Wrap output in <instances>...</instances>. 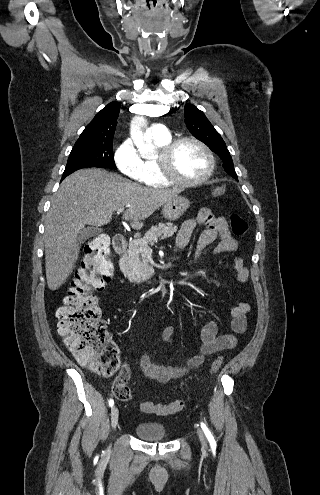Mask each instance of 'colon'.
<instances>
[{
	"instance_id": "5ec220e1",
	"label": "colon",
	"mask_w": 320,
	"mask_h": 495,
	"mask_svg": "<svg viewBox=\"0 0 320 495\" xmlns=\"http://www.w3.org/2000/svg\"><path fill=\"white\" fill-rule=\"evenodd\" d=\"M225 186L213 190L222 195ZM231 228L235 235H243L247 222L238 214L231 215ZM113 273L109 260V242L104 236L97 237L85 247V259L81 270L69 289L65 303L57 311L58 333L65 345L79 361L102 376H111L119 368L118 348L107 340L106 325L101 318L97 299L93 290H102ZM222 358L217 357L211 364V372L216 373L222 366ZM129 377L119 373L113 382V393L118 400L132 399L128 387ZM184 401L175 400L167 404L143 402L140 409L144 413L160 416L172 415L184 408Z\"/></svg>"
}]
</instances>
